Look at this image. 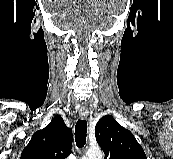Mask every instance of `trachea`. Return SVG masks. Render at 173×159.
<instances>
[{"label":"trachea","mask_w":173,"mask_h":159,"mask_svg":"<svg viewBox=\"0 0 173 159\" xmlns=\"http://www.w3.org/2000/svg\"><path fill=\"white\" fill-rule=\"evenodd\" d=\"M87 122L86 120H78L75 125V141L78 148H83L86 143Z\"/></svg>","instance_id":"obj_1"}]
</instances>
